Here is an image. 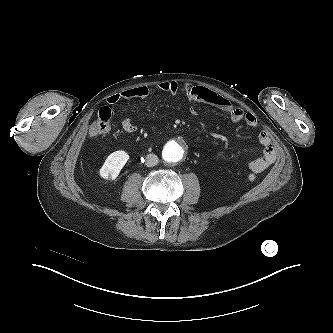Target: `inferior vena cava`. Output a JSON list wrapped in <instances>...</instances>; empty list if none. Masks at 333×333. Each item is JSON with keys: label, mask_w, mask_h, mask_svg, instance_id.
<instances>
[{"label": "inferior vena cava", "mask_w": 333, "mask_h": 333, "mask_svg": "<svg viewBox=\"0 0 333 333\" xmlns=\"http://www.w3.org/2000/svg\"><path fill=\"white\" fill-rule=\"evenodd\" d=\"M158 162H159V159H158L157 155H155V154L147 155V157H146V166L147 167L155 166L158 164Z\"/></svg>", "instance_id": "inferior-vena-cava-1"}]
</instances>
